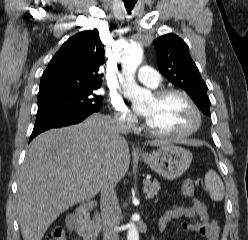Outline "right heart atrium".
<instances>
[{"label":"right heart atrium","instance_id":"obj_1","mask_svg":"<svg viewBox=\"0 0 248 240\" xmlns=\"http://www.w3.org/2000/svg\"><path fill=\"white\" fill-rule=\"evenodd\" d=\"M114 118L127 128H134L137 124L136 116L131 112L124 101L119 97L111 99Z\"/></svg>","mask_w":248,"mask_h":240}]
</instances>
